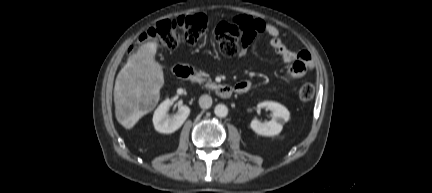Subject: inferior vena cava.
<instances>
[{
  "label": "inferior vena cava",
  "mask_w": 432,
  "mask_h": 193,
  "mask_svg": "<svg viewBox=\"0 0 432 193\" xmlns=\"http://www.w3.org/2000/svg\"><path fill=\"white\" fill-rule=\"evenodd\" d=\"M199 105L203 109H208L212 105V98L209 95H202L199 98Z\"/></svg>",
  "instance_id": "602c4592"
}]
</instances>
